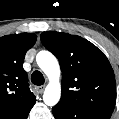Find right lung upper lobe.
Wrapping results in <instances>:
<instances>
[{
	"instance_id": "obj_1",
	"label": "right lung upper lobe",
	"mask_w": 119,
	"mask_h": 119,
	"mask_svg": "<svg viewBox=\"0 0 119 119\" xmlns=\"http://www.w3.org/2000/svg\"><path fill=\"white\" fill-rule=\"evenodd\" d=\"M36 39L33 33L0 37V114L20 108L35 99L28 87L23 62Z\"/></svg>"
}]
</instances>
